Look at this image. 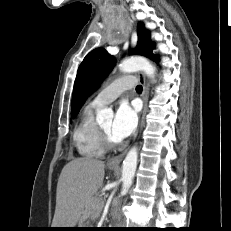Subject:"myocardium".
<instances>
[{
	"label": "myocardium",
	"instance_id": "f54148a6",
	"mask_svg": "<svg viewBox=\"0 0 231 231\" xmlns=\"http://www.w3.org/2000/svg\"><path fill=\"white\" fill-rule=\"evenodd\" d=\"M99 137L104 149L111 150L117 148V141L111 140L104 130L98 126Z\"/></svg>",
	"mask_w": 231,
	"mask_h": 231
}]
</instances>
